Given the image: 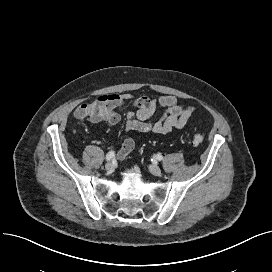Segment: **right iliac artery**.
Masks as SVG:
<instances>
[{"instance_id":"right-iliac-artery-1","label":"right iliac artery","mask_w":272,"mask_h":272,"mask_svg":"<svg viewBox=\"0 0 272 272\" xmlns=\"http://www.w3.org/2000/svg\"><path fill=\"white\" fill-rule=\"evenodd\" d=\"M114 157H115L114 151H110V152H108L107 155H106V161H110V160H112Z\"/></svg>"}]
</instances>
